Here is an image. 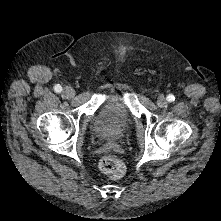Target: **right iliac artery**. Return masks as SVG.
Returning <instances> with one entry per match:
<instances>
[{"label":"right iliac artery","mask_w":221,"mask_h":221,"mask_svg":"<svg viewBox=\"0 0 221 221\" xmlns=\"http://www.w3.org/2000/svg\"><path fill=\"white\" fill-rule=\"evenodd\" d=\"M55 92L60 93L62 91V87L58 84L54 87Z\"/></svg>","instance_id":"right-iliac-artery-1"}]
</instances>
